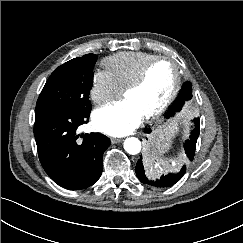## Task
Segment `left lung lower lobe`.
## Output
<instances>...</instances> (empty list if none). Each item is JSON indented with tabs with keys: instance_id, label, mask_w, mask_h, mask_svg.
Here are the masks:
<instances>
[{
	"instance_id": "obj_1",
	"label": "left lung lower lobe",
	"mask_w": 243,
	"mask_h": 243,
	"mask_svg": "<svg viewBox=\"0 0 243 243\" xmlns=\"http://www.w3.org/2000/svg\"><path fill=\"white\" fill-rule=\"evenodd\" d=\"M184 101L185 100L176 101V103L170 109V111H173L172 115H170V116H173L176 112H178L182 108ZM168 113H167V117H170L168 115ZM199 121L200 120L198 118L195 119V128L191 132L190 138L184 144L185 153H186L187 157L189 158V160H191V161L194 158L196 142H197V138L199 136ZM145 132L150 133L151 129L146 128ZM185 171H186V166L184 165V166H182L180 171L177 173H169L168 175L161 176L157 180H150L145 175L144 167L142 164V159H139L136 164V174H137V177L139 178V180L144 184H148V185L154 186V187H170V186L174 185L184 175Z\"/></svg>"
}]
</instances>
